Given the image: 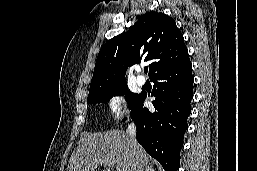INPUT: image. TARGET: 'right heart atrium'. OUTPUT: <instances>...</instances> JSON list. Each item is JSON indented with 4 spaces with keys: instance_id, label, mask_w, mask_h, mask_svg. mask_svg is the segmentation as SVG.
I'll list each match as a JSON object with an SVG mask.
<instances>
[{
    "instance_id": "right-heart-atrium-1",
    "label": "right heart atrium",
    "mask_w": 257,
    "mask_h": 171,
    "mask_svg": "<svg viewBox=\"0 0 257 171\" xmlns=\"http://www.w3.org/2000/svg\"><path fill=\"white\" fill-rule=\"evenodd\" d=\"M107 110L113 120H118L127 114L125 99L120 94H114L107 100Z\"/></svg>"
}]
</instances>
